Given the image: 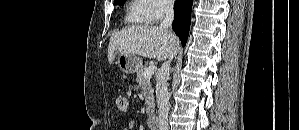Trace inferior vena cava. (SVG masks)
<instances>
[{
	"label": "inferior vena cava",
	"instance_id": "602c4592",
	"mask_svg": "<svg viewBox=\"0 0 299 130\" xmlns=\"http://www.w3.org/2000/svg\"><path fill=\"white\" fill-rule=\"evenodd\" d=\"M173 2L169 1L164 7L165 17L160 27L169 30L172 33V23L174 20ZM176 52L172 53L168 61L164 62L156 76V98L158 107V127L159 130H169L168 112H169V92L167 81L170 73V63Z\"/></svg>",
	"mask_w": 299,
	"mask_h": 130
}]
</instances>
